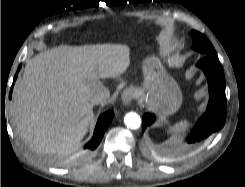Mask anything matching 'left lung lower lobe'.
<instances>
[{"label": "left lung lower lobe", "instance_id": "1", "mask_svg": "<svg viewBox=\"0 0 245 187\" xmlns=\"http://www.w3.org/2000/svg\"><path fill=\"white\" fill-rule=\"evenodd\" d=\"M208 80L210 100L206 113L199 119L187 142L194 143L206 139L219 131L226 120L225 77L222 65L216 54L206 55L198 61ZM154 114L143 116L142 130L154 122Z\"/></svg>", "mask_w": 245, "mask_h": 187}]
</instances>
